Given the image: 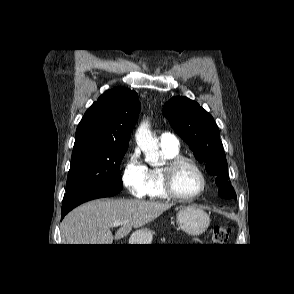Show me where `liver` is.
<instances>
[{"label":"liver","mask_w":294,"mask_h":294,"mask_svg":"<svg viewBox=\"0 0 294 294\" xmlns=\"http://www.w3.org/2000/svg\"><path fill=\"white\" fill-rule=\"evenodd\" d=\"M173 203L138 199L93 200L71 211L60 225L63 244H112L159 217ZM114 222H122L112 235Z\"/></svg>","instance_id":"1"}]
</instances>
